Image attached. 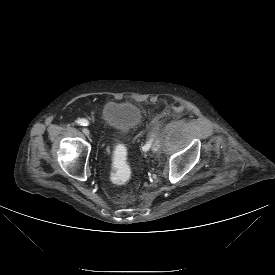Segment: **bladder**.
Listing matches in <instances>:
<instances>
[{"label":"bladder","mask_w":275,"mask_h":275,"mask_svg":"<svg viewBox=\"0 0 275 275\" xmlns=\"http://www.w3.org/2000/svg\"><path fill=\"white\" fill-rule=\"evenodd\" d=\"M102 124L121 134H128L138 127L142 120L141 109L129 101H109L100 113Z\"/></svg>","instance_id":"1"}]
</instances>
